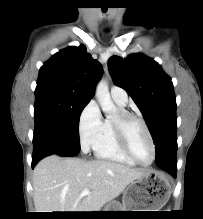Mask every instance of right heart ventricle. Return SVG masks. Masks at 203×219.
I'll return each instance as SVG.
<instances>
[{"label": "right heart ventricle", "instance_id": "obj_1", "mask_svg": "<svg viewBox=\"0 0 203 219\" xmlns=\"http://www.w3.org/2000/svg\"><path fill=\"white\" fill-rule=\"evenodd\" d=\"M118 105L120 111H126L124 105ZM113 120L107 118L102 122L100 132L93 146L94 154L98 159L134 166L136 163L124 153L119 144Z\"/></svg>", "mask_w": 203, "mask_h": 219}]
</instances>
